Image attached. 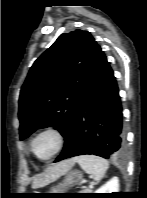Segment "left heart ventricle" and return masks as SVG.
Segmentation results:
<instances>
[{"label":"left heart ventricle","instance_id":"1","mask_svg":"<svg viewBox=\"0 0 147 198\" xmlns=\"http://www.w3.org/2000/svg\"><path fill=\"white\" fill-rule=\"evenodd\" d=\"M56 148V139L51 134H45L39 137L35 144L34 150L39 157L49 156Z\"/></svg>","mask_w":147,"mask_h":198}]
</instances>
